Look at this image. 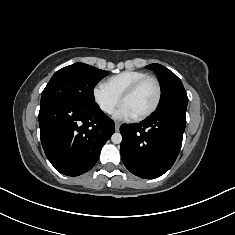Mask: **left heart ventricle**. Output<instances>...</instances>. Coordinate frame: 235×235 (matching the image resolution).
<instances>
[{
    "instance_id": "left-heart-ventricle-1",
    "label": "left heart ventricle",
    "mask_w": 235,
    "mask_h": 235,
    "mask_svg": "<svg viewBox=\"0 0 235 235\" xmlns=\"http://www.w3.org/2000/svg\"><path fill=\"white\" fill-rule=\"evenodd\" d=\"M157 96V88L153 81L145 82L133 95L123 101L135 116L147 111L154 104Z\"/></svg>"
}]
</instances>
